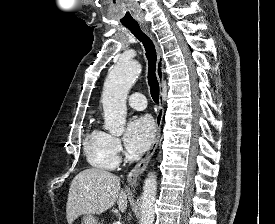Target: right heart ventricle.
Segmentation results:
<instances>
[{
	"label": "right heart ventricle",
	"instance_id": "e07e8e85",
	"mask_svg": "<svg viewBox=\"0 0 275 224\" xmlns=\"http://www.w3.org/2000/svg\"><path fill=\"white\" fill-rule=\"evenodd\" d=\"M84 152L88 163L98 169L112 170L119 161L111 148L110 135L95 125L85 135Z\"/></svg>",
	"mask_w": 275,
	"mask_h": 224
}]
</instances>
